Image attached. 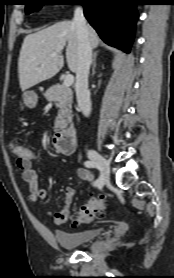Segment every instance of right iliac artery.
<instances>
[{
  "instance_id": "obj_1",
  "label": "right iliac artery",
  "mask_w": 174,
  "mask_h": 278,
  "mask_svg": "<svg viewBox=\"0 0 174 278\" xmlns=\"http://www.w3.org/2000/svg\"><path fill=\"white\" fill-rule=\"evenodd\" d=\"M84 165L88 168H97L101 171L99 165L94 161H86V162H84ZM104 180L105 179H104L103 173L101 171V174H100L99 178L94 182V185L97 187H101L104 184Z\"/></svg>"
}]
</instances>
